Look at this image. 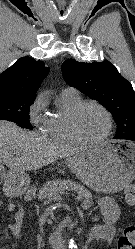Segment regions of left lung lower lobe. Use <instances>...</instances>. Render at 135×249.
<instances>
[{
	"label": "left lung lower lobe",
	"instance_id": "1",
	"mask_svg": "<svg viewBox=\"0 0 135 249\" xmlns=\"http://www.w3.org/2000/svg\"><path fill=\"white\" fill-rule=\"evenodd\" d=\"M128 140H132V141H135V136H130L127 138Z\"/></svg>",
	"mask_w": 135,
	"mask_h": 249
}]
</instances>
